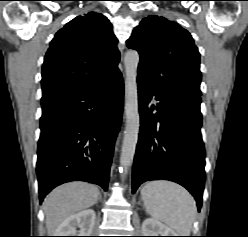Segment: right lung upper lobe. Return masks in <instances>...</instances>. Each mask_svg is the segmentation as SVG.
Instances as JSON below:
<instances>
[{
	"label": "right lung upper lobe",
	"instance_id": "1",
	"mask_svg": "<svg viewBox=\"0 0 248 237\" xmlns=\"http://www.w3.org/2000/svg\"><path fill=\"white\" fill-rule=\"evenodd\" d=\"M110 21L89 12L67 23L54 36L42 67V98L78 90L117 71L120 53Z\"/></svg>",
	"mask_w": 248,
	"mask_h": 237
}]
</instances>
